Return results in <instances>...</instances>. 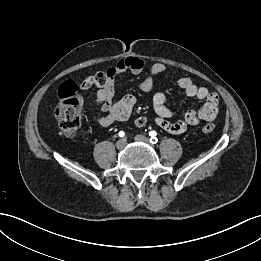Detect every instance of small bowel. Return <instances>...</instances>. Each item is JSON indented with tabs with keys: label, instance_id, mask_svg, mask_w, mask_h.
Returning <instances> with one entry per match:
<instances>
[{
	"label": "small bowel",
	"instance_id": "small-bowel-1",
	"mask_svg": "<svg viewBox=\"0 0 261 261\" xmlns=\"http://www.w3.org/2000/svg\"><path fill=\"white\" fill-rule=\"evenodd\" d=\"M144 61L138 57H128L120 60L116 65L108 68L104 74L106 76V84L99 88L96 93L95 102L101 108L104 115L95 118L96 122L102 127H108L117 121H125L129 118L136 97L132 94H126L118 100H115V79L126 73L140 74L144 69ZM169 74L176 76L175 72L171 71L163 63H155L150 67L147 76L140 82L139 88L144 92H149L154 84V79L157 75ZM87 78L82 87L84 89L91 88ZM177 85L184 90L188 97H194L204 101L201 109L189 111L182 119L171 121L173 112L166 106V94L158 92L153 97V108L155 112V122L163 130L172 134H181L188 127L197 125L201 121L214 120L219 112V100L215 93L210 92L207 88L198 86L191 78L185 76L176 77Z\"/></svg>",
	"mask_w": 261,
	"mask_h": 261
}]
</instances>
